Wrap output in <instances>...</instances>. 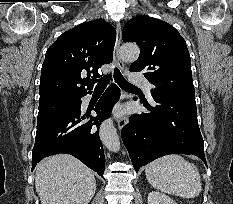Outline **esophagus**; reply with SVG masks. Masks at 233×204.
Masks as SVG:
<instances>
[{
	"mask_svg": "<svg viewBox=\"0 0 233 204\" xmlns=\"http://www.w3.org/2000/svg\"><path fill=\"white\" fill-rule=\"evenodd\" d=\"M120 44H121V26L118 23L116 25V41L114 46V58L121 71L125 70V64L120 57ZM118 128L122 129L128 123V116L119 115L117 118Z\"/></svg>",
	"mask_w": 233,
	"mask_h": 204,
	"instance_id": "obj_1",
	"label": "esophagus"
}]
</instances>
